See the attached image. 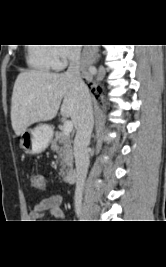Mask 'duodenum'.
<instances>
[{"mask_svg":"<svg viewBox=\"0 0 166 267\" xmlns=\"http://www.w3.org/2000/svg\"><path fill=\"white\" fill-rule=\"evenodd\" d=\"M65 180L68 183H72L76 180V170L75 169H70L65 173Z\"/></svg>","mask_w":166,"mask_h":267,"instance_id":"duodenum-1","label":"duodenum"}]
</instances>
